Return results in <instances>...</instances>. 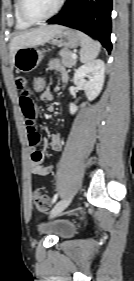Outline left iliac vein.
Listing matches in <instances>:
<instances>
[{
	"instance_id": "obj_1",
	"label": "left iliac vein",
	"mask_w": 134,
	"mask_h": 281,
	"mask_svg": "<svg viewBox=\"0 0 134 281\" xmlns=\"http://www.w3.org/2000/svg\"><path fill=\"white\" fill-rule=\"evenodd\" d=\"M74 197V194L69 195L68 197H66L65 199L61 200L60 202H58L54 208L51 210L49 217L50 218H55L58 215H60V213L69 205V203L72 201Z\"/></svg>"
}]
</instances>
